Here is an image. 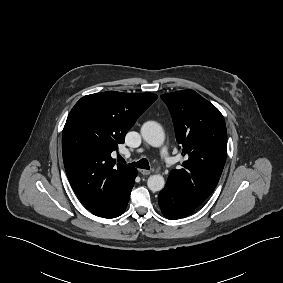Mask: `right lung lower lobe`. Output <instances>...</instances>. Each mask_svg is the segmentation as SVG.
<instances>
[{
    "label": "right lung lower lobe",
    "instance_id": "98d812e1",
    "mask_svg": "<svg viewBox=\"0 0 283 283\" xmlns=\"http://www.w3.org/2000/svg\"><path fill=\"white\" fill-rule=\"evenodd\" d=\"M133 185H134V182L131 184L127 193L121 198V200H119L117 202V204H115V206L113 208H111L109 211L105 212L102 215H99V217L115 218V217H118L121 214H123V212L125 211V209L127 207Z\"/></svg>",
    "mask_w": 283,
    "mask_h": 283
}]
</instances>
